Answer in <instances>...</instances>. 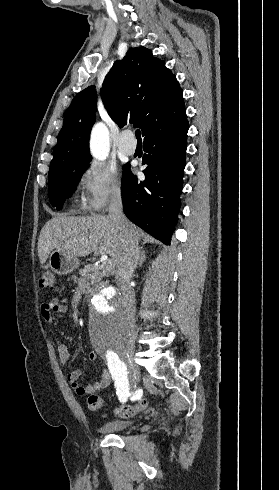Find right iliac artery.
Segmentation results:
<instances>
[{"label": "right iliac artery", "instance_id": "1", "mask_svg": "<svg viewBox=\"0 0 279 490\" xmlns=\"http://www.w3.org/2000/svg\"><path fill=\"white\" fill-rule=\"evenodd\" d=\"M106 364L110 369L111 374L116 379V390L118 396L121 397V402H126L130 397L129 380L127 378V367L120 359L118 352H109L106 359Z\"/></svg>", "mask_w": 279, "mask_h": 490}]
</instances>
